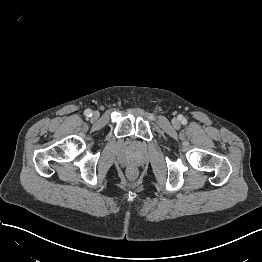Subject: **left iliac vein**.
<instances>
[{
    "mask_svg": "<svg viewBox=\"0 0 262 262\" xmlns=\"http://www.w3.org/2000/svg\"><path fill=\"white\" fill-rule=\"evenodd\" d=\"M172 123H173V126H174L175 128H178V127L180 126L179 121L176 120V119H174Z\"/></svg>",
    "mask_w": 262,
    "mask_h": 262,
    "instance_id": "1",
    "label": "left iliac vein"
}]
</instances>
